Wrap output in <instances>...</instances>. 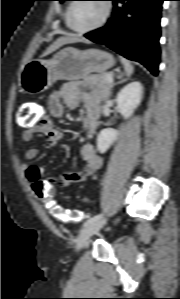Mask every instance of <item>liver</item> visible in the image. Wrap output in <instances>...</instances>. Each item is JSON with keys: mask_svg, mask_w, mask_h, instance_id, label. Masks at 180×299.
<instances>
[{"mask_svg": "<svg viewBox=\"0 0 180 299\" xmlns=\"http://www.w3.org/2000/svg\"><path fill=\"white\" fill-rule=\"evenodd\" d=\"M81 41H83V40L76 37L75 35L65 34V35L59 37L58 39H56V41L46 49V51L43 53L42 56L49 55L50 53L56 51L63 45L77 43V42H81Z\"/></svg>", "mask_w": 180, "mask_h": 299, "instance_id": "liver-1", "label": "liver"}]
</instances>
